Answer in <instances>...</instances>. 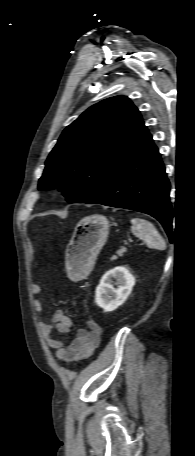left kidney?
<instances>
[{
  "label": "left kidney",
  "mask_w": 195,
  "mask_h": 456,
  "mask_svg": "<svg viewBox=\"0 0 195 456\" xmlns=\"http://www.w3.org/2000/svg\"><path fill=\"white\" fill-rule=\"evenodd\" d=\"M112 279L118 283L117 288L112 285ZM135 278L125 267H116L103 275L96 288L95 302L105 312L114 311L121 306L130 295Z\"/></svg>",
  "instance_id": "5707ae66"
}]
</instances>
